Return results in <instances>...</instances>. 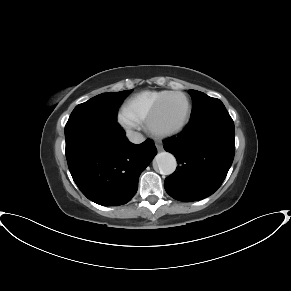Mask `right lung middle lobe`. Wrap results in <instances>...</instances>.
<instances>
[{
	"mask_svg": "<svg viewBox=\"0 0 291 291\" xmlns=\"http://www.w3.org/2000/svg\"><path fill=\"white\" fill-rule=\"evenodd\" d=\"M131 91L132 90H126L99 94L90 100L77 105L69 118L75 116H92L117 120L118 107Z\"/></svg>",
	"mask_w": 291,
	"mask_h": 291,
	"instance_id": "dd1d6c3e",
	"label": "right lung middle lobe"
}]
</instances>
